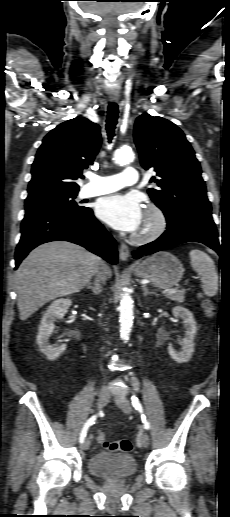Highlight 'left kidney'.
Masks as SVG:
<instances>
[{
    "instance_id": "1",
    "label": "left kidney",
    "mask_w": 230,
    "mask_h": 517,
    "mask_svg": "<svg viewBox=\"0 0 230 517\" xmlns=\"http://www.w3.org/2000/svg\"><path fill=\"white\" fill-rule=\"evenodd\" d=\"M172 314L176 318H181L185 326V337L183 339V346L181 351H176L172 347H168V352L172 359L178 363H185L190 360L194 352V337L196 335L197 327L193 314L186 308L176 306L172 310Z\"/></svg>"
}]
</instances>
